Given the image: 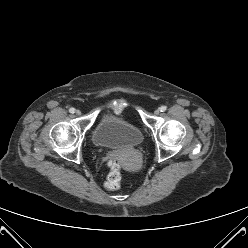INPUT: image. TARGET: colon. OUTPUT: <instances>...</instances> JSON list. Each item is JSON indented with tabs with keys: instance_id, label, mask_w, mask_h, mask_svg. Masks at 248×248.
I'll return each mask as SVG.
<instances>
[{
	"instance_id": "1",
	"label": "colon",
	"mask_w": 248,
	"mask_h": 248,
	"mask_svg": "<svg viewBox=\"0 0 248 248\" xmlns=\"http://www.w3.org/2000/svg\"><path fill=\"white\" fill-rule=\"evenodd\" d=\"M109 165H110L111 171L107 177L105 186L109 190H116L120 187V183L122 180V169H121L120 164L115 160H111L109 162Z\"/></svg>"
}]
</instances>
